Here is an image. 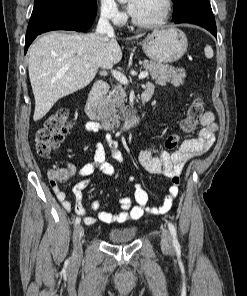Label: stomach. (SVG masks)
Returning a JSON list of instances; mask_svg holds the SVG:
<instances>
[{"label": "stomach", "mask_w": 247, "mask_h": 296, "mask_svg": "<svg viewBox=\"0 0 247 296\" xmlns=\"http://www.w3.org/2000/svg\"><path fill=\"white\" fill-rule=\"evenodd\" d=\"M140 45L148 58L165 64L178 61L186 53L188 41L184 32L169 27L149 34Z\"/></svg>", "instance_id": "stomach-1"}]
</instances>
